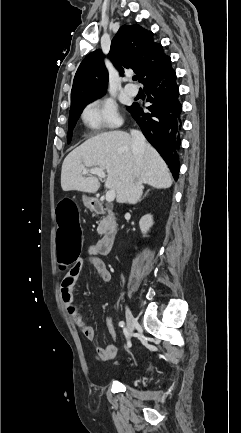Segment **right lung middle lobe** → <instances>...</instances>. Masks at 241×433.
Returning <instances> with one entry per match:
<instances>
[{
  "label": "right lung middle lobe",
  "mask_w": 241,
  "mask_h": 433,
  "mask_svg": "<svg viewBox=\"0 0 241 433\" xmlns=\"http://www.w3.org/2000/svg\"><path fill=\"white\" fill-rule=\"evenodd\" d=\"M97 98H100V97H97ZM97 98L82 100V101L77 102L75 105L71 106V110L69 113V129H68V134H67L68 143H70V141H71L72 130L75 127V124H76L77 120L79 119V116L82 113L84 107L88 103L92 102L93 100H95Z\"/></svg>",
  "instance_id": "right-lung-middle-lobe-1"
}]
</instances>
